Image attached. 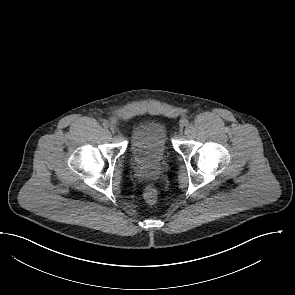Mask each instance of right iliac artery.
<instances>
[{"instance_id": "obj_1", "label": "right iliac artery", "mask_w": 295, "mask_h": 295, "mask_svg": "<svg viewBox=\"0 0 295 295\" xmlns=\"http://www.w3.org/2000/svg\"><path fill=\"white\" fill-rule=\"evenodd\" d=\"M103 126H104L105 128H108V127L110 126V123H109L108 121H104V122H103Z\"/></svg>"}]
</instances>
